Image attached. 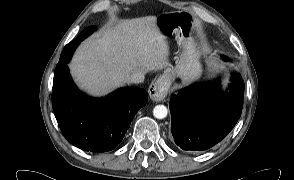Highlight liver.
<instances>
[{
	"label": "liver",
	"instance_id": "obj_1",
	"mask_svg": "<svg viewBox=\"0 0 294 180\" xmlns=\"http://www.w3.org/2000/svg\"><path fill=\"white\" fill-rule=\"evenodd\" d=\"M156 25V16L120 20L88 38L70 64L77 85L102 96L143 74L170 66L169 45Z\"/></svg>",
	"mask_w": 294,
	"mask_h": 180
}]
</instances>
